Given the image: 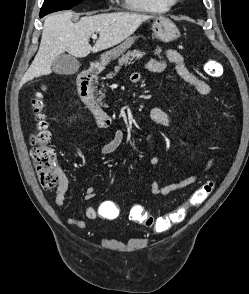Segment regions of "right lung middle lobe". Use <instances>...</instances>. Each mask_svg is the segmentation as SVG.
<instances>
[{
	"label": "right lung middle lobe",
	"instance_id": "obj_1",
	"mask_svg": "<svg viewBox=\"0 0 249 294\" xmlns=\"http://www.w3.org/2000/svg\"><path fill=\"white\" fill-rule=\"evenodd\" d=\"M82 1L83 0H45L40 15L45 16L55 11L71 9Z\"/></svg>",
	"mask_w": 249,
	"mask_h": 294
}]
</instances>
